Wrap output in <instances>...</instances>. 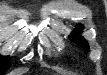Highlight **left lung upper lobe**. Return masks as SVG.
<instances>
[{
	"instance_id": "1",
	"label": "left lung upper lobe",
	"mask_w": 107,
	"mask_h": 75,
	"mask_svg": "<svg viewBox=\"0 0 107 75\" xmlns=\"http://www.w3.org/2000/svg\"><path fill=\"white\" fill-rule=\"evenodd\" d=\"M82 28H83V27H82L81 25H78V26L76 27L75 33L70 36V39H71L74 43H76V44H78L79 46H81V47L85 48L86 50H88L89 47H88V44H87L86 40H85L82 36H80V33H81V29H82Z\"/></svg>"
}]
</instances>
